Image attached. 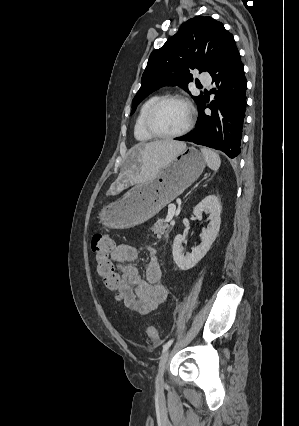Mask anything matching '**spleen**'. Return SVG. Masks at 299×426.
I'll list each match as a JSON object with an SVG mask.
<instances>
[{
    "instance_id": "1",
    "label": "spleen",
    "mask_w": 299,
    "mask_h": 426,
    "mask_svg": "<svg viewBox=\"0 0 299 426\" xmlns=\"http://www.w3.org/2000/svg\"><path fill=\"white\" fill-rule=\"evenodd\" d=\"M201 152L204 155L207 166L210 169L217 171L221 164L219 155L208 148H201Z\"/></svg>"
}]
</instances>
